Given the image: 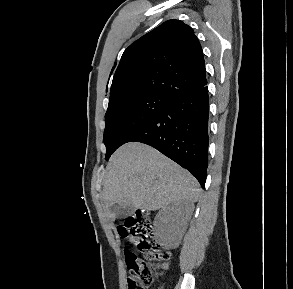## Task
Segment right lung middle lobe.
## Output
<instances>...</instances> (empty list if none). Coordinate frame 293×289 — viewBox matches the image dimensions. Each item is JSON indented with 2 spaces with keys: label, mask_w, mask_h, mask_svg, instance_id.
<instances>
[{
  "label": "right lung middle lobe",
  "mask_w": 293,
  "mask_h": 289,
  "mask_svg": "<svg viewBox=\"0 0 293 289\" xmlns=\"http://www.w3.org/2000/svg\"><path fill=\"white\" fill-rule=\"evenodd\" d=\"M172 101L157 94L128 97L108 106L105 115L104 144L106 156L110 155L142 126L152 120Z\"/></svg>",
  "instance_id": "obj_1"
}]
</instances>
